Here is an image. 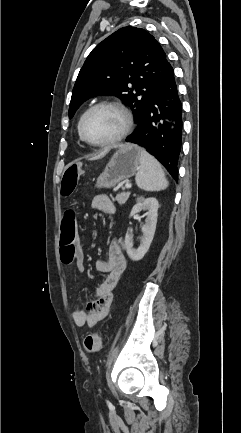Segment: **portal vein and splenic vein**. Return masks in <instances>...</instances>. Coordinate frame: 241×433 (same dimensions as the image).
Listing matches in <instances>:
<instances>
[{
    "mask_svg": "<svg viewBox=\"0 0 241 433\" xmlns=\"http://www.w3.org/2000/svg\"><path fill=\"white\" fill-rule=\"evenodd\" d=\"M131 187H132V185L130 183L125 184V188L130 189Z\"/></svg>",
    "mask_w": 241,
    "mask_h": 433,
    "instance_id": "portal-vein-and-splenic-vein-1",
    "label": "portal vein and splenic vein"
}]
</instances>
